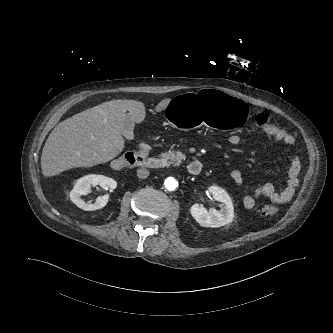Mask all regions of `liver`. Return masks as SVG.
<instances>
[{
    "instance_id": "1",
    "label": "liver",
    "mask_w": 333,
    "mask_h": 333,
    "mask_svg": "<svg viewBox=\"0 0 333 333\" xmlns=\"http://www.w3.org/2000/svg\"><path fill=\"white\" fill-rule=\"evenodd\" d=\"M169 102V98L161 100L155 111L164 110ZM127 114L134 122L141 123L146 116L144 104L136 100H111L60 122L43 147L42 174L50 177L115 158L124 149L121 127Z\"/></svg>"
}]
</instances>
